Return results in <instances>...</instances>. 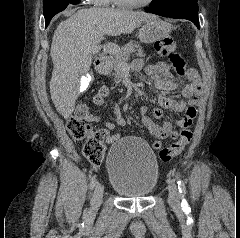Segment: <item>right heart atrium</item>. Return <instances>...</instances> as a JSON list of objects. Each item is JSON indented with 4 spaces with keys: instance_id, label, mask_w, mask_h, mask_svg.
<instances>
[{
    "instance_id": "d8ad5b80",
    "label": "right heart atrium",
    "mask_w": 240,
    "mask_h": 238,
    "mask_svg": "<svg viewBox=\"0 0 240 238\" xmlns=\"http://www.w3.org/2000/svg\"><path fill=\"white\" fill-rule=\"evenodd\" d=\"M84 1L92 5H104L107 4L109 0H84Z\"/></svg>"
}]
</instances>
